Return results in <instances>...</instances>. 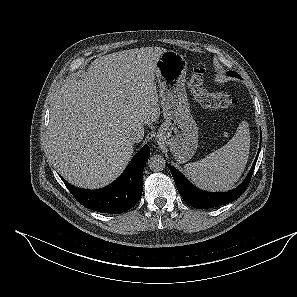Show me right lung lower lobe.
Here are the masks:
<instances>
[{
	"label": "right lung lower lobe",
	"instance_id": "98d812e1",
	"mask_svg": "<svg viewBox=\"0 0 297 297\" xmlns=\"http://www.w3.org/2000/svg\"><path fill=\"white\" fill-rule=\"evenodd\" d=\"M149 155L150 148L144 146L116 181L99 190L79 189L60 178L76 200L86 208L101 213H122L132 208L141 197L143 169Z\"/></svg>",
	"mask_w": 297,
	"mask_h": 297
}]
</instances>
